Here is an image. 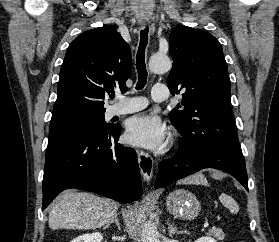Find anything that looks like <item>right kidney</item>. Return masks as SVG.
I'll use <instances>...</instances> for the list:
<instances>
[{"mask_svg":"<svg viewBox=\"0 0 279 242\" xmlns=\"http://www.w3.org/2000/svg\"><path fill=\"white\" fill-rule=\"evenodd\" d=\"M103 236L101 232L85 233L82 234L71 242H102Z\"/></svg>","mask_w":279,"mask_h":242,"instance_id":"obj_1","label":"right kidney"}]
</instances>
